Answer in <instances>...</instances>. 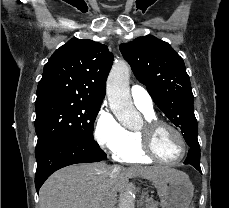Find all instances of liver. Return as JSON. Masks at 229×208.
<instances>
[{
  "label": "liver",
  "instance_id": "6515ba94",
  "mask_svg": "<svg viewBox=\"0 0 229 208\" xmlns=\"http://www.w3.org/2000/svg\"><path fill=\"white\" fill-rule=\"evenodd\" d=\"M182 178L184 172L168 166L112 168L104 162L67 166L52 174L43 184L40 208H114L117 192L126 188L129 178Z\"/></svg>",
  "mask_w": 229,
  "mask_h": 208
}]
</instances>
